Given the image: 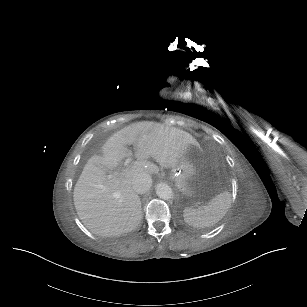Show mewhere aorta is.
I'll return each mask as SVG.
<instances>
[{
  "label": "aorta",
  "instance_id": "762f6f07",
  "mask_svg": "<svg viewBox=\"0 0 307 307\" xmlns=\"http://www.w3.org/2000/svg\"><path fill=\"white\" fill-rule=\"evenodd\" d=\"M155 190L157 196L163 200H168L173 197L172 188L167 183H158Z\"/></svg>",
  "mask_w": 307,
  "mask_h": 307
}]
</instances>
